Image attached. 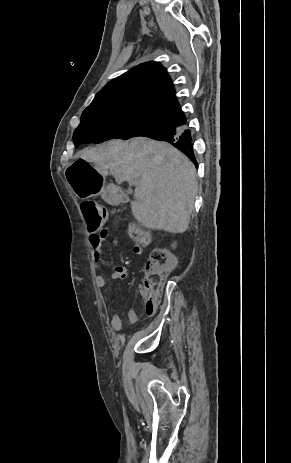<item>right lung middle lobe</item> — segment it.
<instances>
[{
  "label": "right lung middle lobe",
  "instance_id": "dd1d6c3e",
  "mask_svg": "<svg viewBox=\"0 0 291 463\" xmlns=\"http://www.w3.org/2000/svg\"><path fill=\"white\" fill-rule=\"evenodd\" d=\"M169 124L165 119L135 112L85 109L73 134L75 147L110 139H130L159 131Z\"/></svg>",
  "mask_w": 291,
  "mask_h": 463
}]
</instances>
